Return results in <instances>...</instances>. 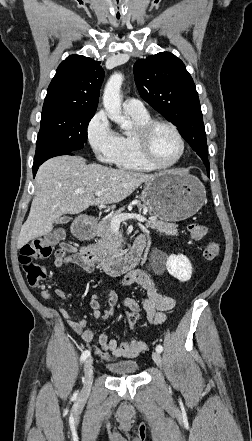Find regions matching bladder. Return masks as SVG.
Returning a JSON list of instances; mask_svg holds the SVG:
<instances>
[{
  "mask_svg": "<svg viewBox=\"0 0 252 441\" xmlns=\"http://www.w3.org/2000/svg\"><path fill=\"white\" fill-rule=\"evenodd\" d=\"M138 368L139 364L136 361L110 363L107 365V369L112 375L117 377L132 375L138 370Z\"/></svg>",
  "mask_w": 252,
  "mask_h": 441,
  "instance_id": "1",
  "label": "bladder"
}]
</instances>
